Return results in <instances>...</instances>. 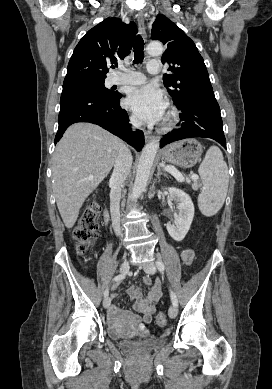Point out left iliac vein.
<instances>
[{"label":"left iliac vein","instance_id":"1","mask_svg":"<svg viewBox=\"0 0 272 389\" xmlns=\"http://www.w3.org/2000/svg\"><path fill=\"white\" fill-rule=\"evenodd\" d=\"M143 269L148 274H154L156 272V266L154 263H147L143 265ZM178 313L177 306L172 305L169 310L168 314L170 318H175Z\"/></svg>","mask_w":272,"mask_h":389}]
</instances>
